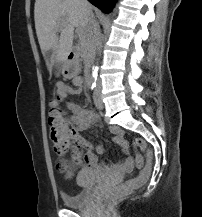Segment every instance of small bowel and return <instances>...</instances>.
<instances>
[{
  "instance_id": "small-bowel-1",
  "label": "small bowel",
  "mask_w": 202,
  "mask_h": 217,
  "mask_svg": "<svg viewBox=\"0 0 202 217\" xmlns=\"http://www.w3.org/2000/svg\"><path fill=\"white\" fill-rule=\"evenodd\" d=\"M72 81L77 87H80L82 84L80 76L73 77ZM56 90L58 98L61 100L79 92V89H74L63 81L56 83ZM66 108L71 113L67 118L69 138L74 140L78 146L85 149V152L79 154L76 158L77 161L83 163L84 168L93 169L99 173H111L119 177L133 174L135 168L138 166L137 160L139 159L142 163L143 159L139 154L135 159L128 155L129 145L124 139L122 130L117 127L110 128V132L113 135L112 141L121 147L125 156L117 163H103L99 160L98 155L104 153V146L102 144L93 146L81 136V132L97 120L98 117L95 111L91 108H84L76 102H67Z\"/></svg>"
}]
</instances>
